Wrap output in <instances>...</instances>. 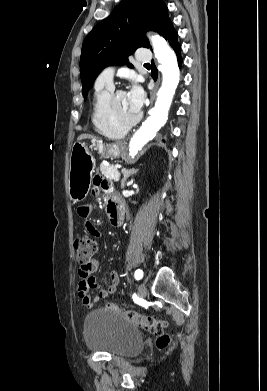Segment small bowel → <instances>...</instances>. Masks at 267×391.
Returning <instances> with one entry per match:
<instances>
[{"mask_svg":"<svg viewBox=\"0 0 267 391\" xmlns=\"http://www.w3.org/2000/svg\"><path fill=\"white\" fill-rule=\"evenodd\" d=\"M94 192L105 199L107 202L108 214L112 219L114 216L122 215L123 216V206L114 192V188L110 182L103 179L99 175H95L93 179ZM92 207L88 204H83L78 207V215L85 221V228L87 232L92 236H99V231L97 228L89 221V216L91 213ZM99 262L93 260L90 265L86 268L80 267L78 270V286L77 292L78 296L85 307H91L94 301L99 299L109 297L112 295L117 288L119 283V276L117 272L112 271L110 273V283L106 288L100 287L96 279L92 274L98 269ZM90 289H97L98 293L95 298L92 300L89 291Z\"/></svg>","mask_w":267,"mask_h":391,"instance_id":"1","label":"small bowel"}]
</instances>
